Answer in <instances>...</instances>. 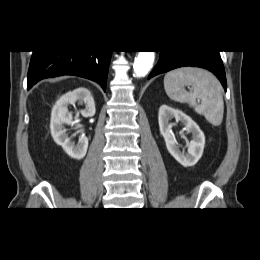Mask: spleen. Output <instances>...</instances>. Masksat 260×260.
<instances>
[{"label": "spleen", "mask_w": 260, "mask_h": 260, "mask_svg": "<svg viewBox=\"0 0 260 260\" xmlns=\"http://www.w3.org/2000/svg\"><path fill=\"white\" fill-rule=\"evenodd\" d=\"M185 86H191L193 92L188 93ZM164 89L170 99L192 105L210 124L221 125L224 113L222 88L210 72L192 67L172 70L164 77ZM196 99H200L201 104H197Z\"/></svg>", "instance_id": "spleen-1"}]
</instances>
